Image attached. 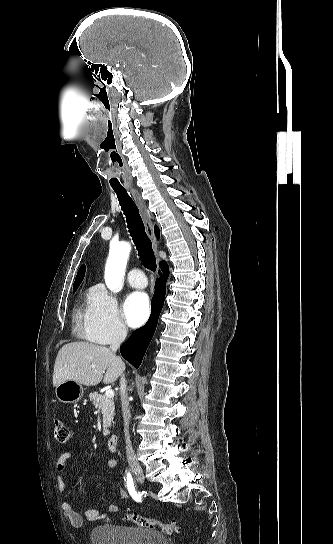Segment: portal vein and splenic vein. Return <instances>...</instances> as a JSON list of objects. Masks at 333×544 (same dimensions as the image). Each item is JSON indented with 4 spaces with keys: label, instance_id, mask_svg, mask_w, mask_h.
<instances>
[{
    "label": "portal vein and splenic vein",
    "instance_id": "portal-vein-and-splenic-vein-1",
    "mask_svg": "<svg viewBox=\"0 0 333 544\" xmlns=\"http://www.w3.org/2000/svg\"><path fill=\"white\" fill-rule=\"evenodd\" d=\"M105 395L108 397V398H113L114 397V391L113 390H107Z\"/></svg>",
    "mask_w": 333,
    "mask_h": 544
}]
</instances>
